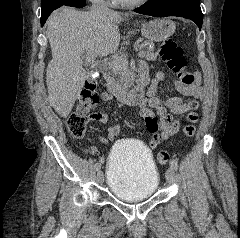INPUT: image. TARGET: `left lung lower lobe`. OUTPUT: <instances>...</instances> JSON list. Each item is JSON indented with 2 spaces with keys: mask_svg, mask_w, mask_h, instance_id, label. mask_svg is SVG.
Listing matches in <instances>:
<instances>
[{
  "mask_svg": "<svg viewBox=\"0 0 240 238\" xmlns=\"http://www.w3.org/2000/svg\"><path fill=\"white\" fill-rule=\"evenodd\" d=\"M134 11L155 17H184L194 21L199 28L203 22L200 0H148Z\"/></svg>",
  "mask_w": 240,
  "mask_h": 238,
  "instance_id": "0a47b994",
  "label": "left lung lower lobe"
}]
</instances>
